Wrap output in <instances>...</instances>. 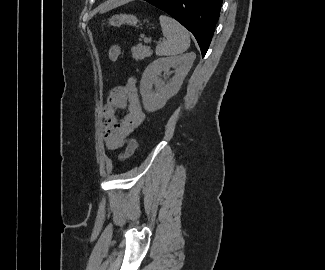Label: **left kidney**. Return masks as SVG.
<instances>
[{
	"instance_id": "left-kidney-1",
	"label": "left kidney",
	"mask_w": 325,
	"mask_h": 270,
	"mask_svg": "<svg viewBox=\"0 0 325 270\" xmlns=\"http://www.w3.org/2000/svg\"><path fill=\"white\" fill-rule=\"evenodd\" d=\"M195 53L180 56L159 58L153 61L144 71L140 82V93L144 109L154 112L163 108L166 102L179 91L194 60ZM170 68L175 69V75L167 84L158 78L160 73H169ZM155 86V90H153Z\"/></svg>"
}]
</instances>
